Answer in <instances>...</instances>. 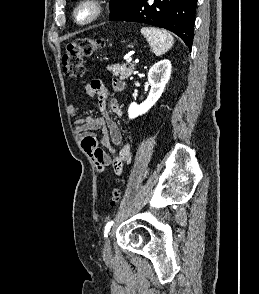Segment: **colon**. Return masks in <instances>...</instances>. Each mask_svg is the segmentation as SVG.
Instances as JSON below:
<instances>
[{
    "instance_id": "5ec220e1",
    "label": "colon",
    "mask_w": 259,
    "mask_h": 294,
    "mask_svg": "<svg viewBox=\"0 0 259 294\" xmlns=\"http://www.w3.org/2000/svg\"><path fill=\"white\" fill-rule=\"evenodd\" d=\"M99 39L84 37L70 41L66 44L62 56L63 71L68 77L80 78L84 75L83 58L91 56L101 47ZM123 188L116 186L112 190L111 205H116L122 197Z\"/></svg>"
}]
</instances>
